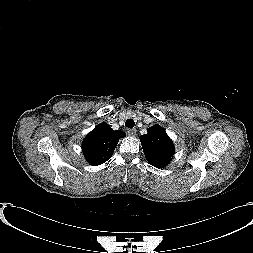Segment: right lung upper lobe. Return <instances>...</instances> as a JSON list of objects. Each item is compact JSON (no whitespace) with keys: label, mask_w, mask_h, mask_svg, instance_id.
<instances>
[{"label":"right lung upper lobe","mask_w":253,"mask_h":253,"mask_svg":"<svg viewBox=\"0 0 253 253\" xmlns=\"http://www.w3.org/2000/svg\"><path fill=\"white\" fill-rule=\"evenodd\" d=\"M124 136V132L114 131L105 122L97 125L82 143L83 154L88 163L97 166L109 160L119 139Z\"/></svg>","instance_id":"cb5924a9"}]
</instances>
